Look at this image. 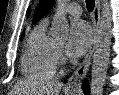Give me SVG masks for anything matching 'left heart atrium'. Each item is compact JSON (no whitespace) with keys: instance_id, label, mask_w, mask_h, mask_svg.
<instances>
[{"instance_id":"39dd6f15","label":"left heart atrium","mask_w":119,"mask_h":95,"mask_svg":"<svg viewBox=\"0 0 119 95\" xmlns=\"http://www.w3.org/2000/svg\"><path fill=\"white\" fill-rule=\"evenodd\" d=\"M92 40V33L89 25L82 20H75L71 24L70 37L67 43V54L70 57L81 56Z\"/></svg>"}]
</instances>
